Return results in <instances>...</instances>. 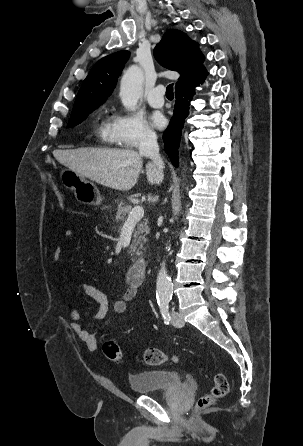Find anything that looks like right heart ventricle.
Instances as JSON below:
<instances>
[{
    "label": "right heart ventricle",
    "mask_w": 303,
    "mask_h": 446,
    "mask_svg": "<svg viewBox=\"0 0 303 446\" xmlns=\"http://www.w3.org/2000/svg\"><path fill=\"white\" fill-rule=\"evenodd\" d=\"M113 120L110 118H103L96 127L95 134L100 142L104 144L114 143L112 135Z\"/></svg>",
    "instance_id": "obj_1"
}]
</instances>
